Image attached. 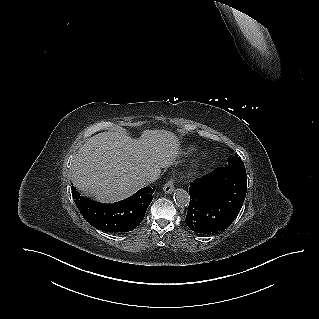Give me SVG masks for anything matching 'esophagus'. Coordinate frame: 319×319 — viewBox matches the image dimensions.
<instances>
[{"label":"esophagus","instance_id":"obj_1","mask_svg":"<svg viewBox=\"0 0 319 319\" xmlns=\"http://www.w3.org/2000/svg\"><path fill=\"white\" fill-rule=\"evenodd\" d=\"M174 178H171L170 180H168L166 183H165V185H164V187H163V191L165 192V193H168V194H170V193H172L173 191H174Z\"/></svg>","mask_w":319,"mask_h":319}]
</instances>
